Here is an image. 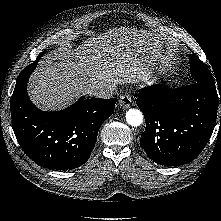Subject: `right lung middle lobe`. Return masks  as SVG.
Returning <instances> with one entry per match:
<instances>
[{
    "label": "right lung middle lobe",
    "mask_w": 221,
    "mask_h": 221,
    "mask_svg": "<svg viewBox=\"0 0 221 221\" xmlns=\"http://www.w3.org/2000/svg\"><path fill=\"white\" fill-rule=\"evenodd\" d=\"M42 55H43V53H41V54L39 55V58H40Z\"/></svg>",
    "instance_id": "obj_1"
}]
</instances>
